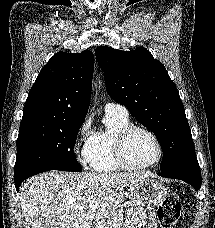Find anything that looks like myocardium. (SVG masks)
<instances>
[{"label":"myocardium","mask_w":215,"mask_h":228,"mask_svg":"<svg viewBox=\"0 0 215 228\" xmlns=\"http://www.w3.org/2000/svg\"><path fill=\"white\" fill-rule=\"evenodd\" d=\"M136 130H140L147 133L150 136V138L153 140L157 151L156 158L152 162L144 165H140V166L132 165L128 161L125 153L126 142L130 137V135ZM114 154H115L116 161L121 166V168L125 170H130V171H141V170L152 168L160 163L163 155V148L159 138L150 128L139 124H129L117 134L114 141Z\"/></svg>","instance_id":"1"}]
</instances>
